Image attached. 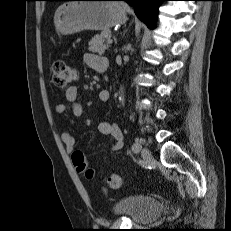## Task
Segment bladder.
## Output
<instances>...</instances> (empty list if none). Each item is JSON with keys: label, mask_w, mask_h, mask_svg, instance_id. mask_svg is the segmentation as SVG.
I'll list each match as a JSON object with an SVG mask.
<instances>
[{"label": "bladder", "mask_w": 231, "mask_h": 231, "mask_svg": "<svg viewBox=\"0 0 231 231\" xmlns=\"http://www.w3.org/2000/svg\"><path fill=\"white\" fill-rule=\"evenodd\" d=\"M162 210V204L158 200L138 195L126 196L112 206L115 214L127 216L132 222L138 224L155 221Z\"/></svg>", "instance_id": "1"}]
</instances>
